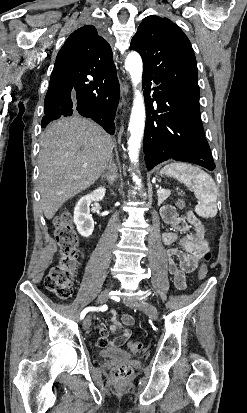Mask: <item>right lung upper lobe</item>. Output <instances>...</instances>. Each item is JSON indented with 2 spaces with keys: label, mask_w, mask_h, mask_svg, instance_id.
<instances>
[{
  "label": "right lung upper lobe",
  "mask_w": 247,
  "mask_h": 413,
  "mask_svg": "<svg viewBox=\"0 0 247 413\" xmlns=\"http://www.w3.org/2000/svg\"><path fill=\"white\" fill-rule=\"evenodd\" d=\"M115 70L110 45L93 25L74 31L60 49L53 71L100 75Z\"/></svg>",
  "instance_id": "obj_1"
}]
</instances>
